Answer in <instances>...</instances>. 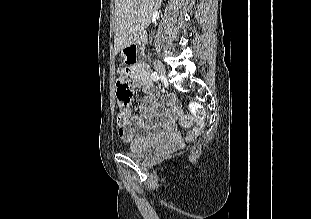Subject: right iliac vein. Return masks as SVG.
<instances>
[{
  "label": "right iliac vein",
  "instance_id": "1",
  "mask_svg": "<svg viewBox=\"0 0 311 219\" xmlns=\"http://www.w3.org/2000/svg\"><path fill=\"white\" fill-rule=\"evenodd\" d=\"M153 64H154V67H155L156 71L158 72V74L161 77H164L166 75V69H165L164 65L158 60H154Z\"/></svg>",
  "mask_w": 311,
  "mask_h": 219
}]
</instances>
